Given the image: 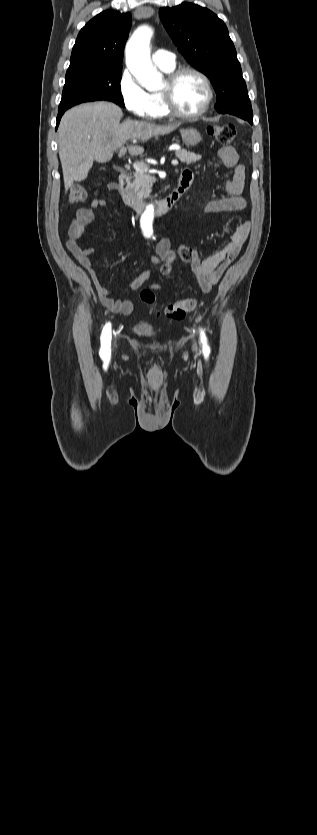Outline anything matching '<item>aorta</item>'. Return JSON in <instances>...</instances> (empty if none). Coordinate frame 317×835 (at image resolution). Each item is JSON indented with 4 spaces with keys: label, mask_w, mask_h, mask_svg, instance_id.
<instances>
[{
    "label": "aorta",
    "mask_w": 317,
    "mask_h": 835,
    "mask_svg": "<svg viewBox=\"0 0 317 835\" xmlns=\"http://www.w3.org/2000/svg\"><path fill=\"white\" fill-rule=\"evenodd\" d=\"M153 30L150 26H141L135 30L125 48L126 65L135 79L147 90H156L163 84L162 74L152 64L150 42ZM154 219L150 207L142 216L143 224H151Z\"/></svg>",
    "instance_id": "obj_1"
}]
</instances>
